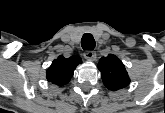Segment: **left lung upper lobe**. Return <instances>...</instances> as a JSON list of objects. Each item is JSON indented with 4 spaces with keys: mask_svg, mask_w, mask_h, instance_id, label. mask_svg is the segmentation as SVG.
<instances>
[{
    "mask_svg": "<svg viewBox=\"0 0 165 113\" xmlns=\"http://www.w3.org/2000/svg\"><path fill=\"white\" fill-rule=\"evenodd\" d=\"M101 62L103 63L101 67L102 79L108 88L115 90L128 84V75L124 64L117 57L109 55L106 58H101Z\"/></svg>",
    "mask_w": 165,
    "mask_h": 113,
    "instance_id": "obj_1",
    "label": "left lung upper lobe"
}]
</instances>
